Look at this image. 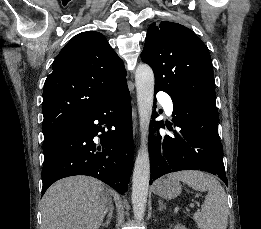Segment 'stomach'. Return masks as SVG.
<instances>
[{"instance_id":"stomach-1","label":"stomach","mask_w":261,"mask_h":229,"mask_svg":"<svg viewBox=\"0 0 261 229\" xmlns=\"http://www.w3.org/2000/svg\"><path fill=\"white\" fill-rule=\"evenodd\" d=\"M153 193L162 199H175L181 193V185L175 179H159L154 185Z\"/></svg>"}]
</instances>
